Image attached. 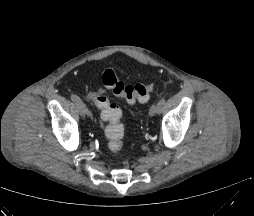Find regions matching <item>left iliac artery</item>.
Listing matches in <instances>:
<instances>
[{
    "label": "left iliac artery",
    "instance_id": "obj_1",
    "mask_svg": "<svg viewBox=\"0 0 254 216\" xmlns=\"http://www.w3.org/2000/svg\"><path fill=\"white\" fill-rule=\"evenodd\" d=\"M165 102H166V98L165 97H162L158 103H157V106H158V112H161L164 108V105H165Z\"/></svg>",
    "mask_w": 254,
    "mask_h": 216
}]
</instances>
